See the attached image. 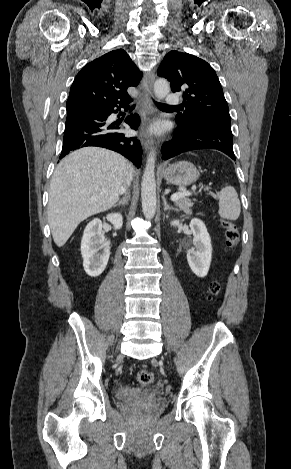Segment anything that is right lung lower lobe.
<instances>
[{"mask_svg": "<svg viewBox=\"0 0 291 469\" xmlns=\"http://www.w3.org/2000/svg\"><path fill=\"white\" fill-rule=\"evenodd\" d=\"M129 103H97L68 113L60 159L76 149L97 146L122 154L139 168L142 161L140 142L136 137L125 136L119 131L122 127L108 119L110 114L117 113L121 108L126 110ZM125 122L136 130L140 119L133 114Z\"/></svg>", "mask_w": 291, "mask_h": 469, "instance_id": "1", "label": "right lung lower lobe"}]
</instances>
